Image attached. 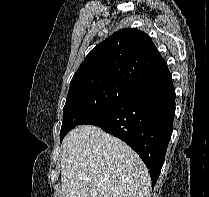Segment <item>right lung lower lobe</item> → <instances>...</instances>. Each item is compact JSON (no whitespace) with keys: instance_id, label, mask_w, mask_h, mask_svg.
<instances>
[{"instance_id":"obj_1","label":"right lung lower lobe","mask_w":209,"mask_h":197,"mask_svg":"<svg viewBox=\"0 0 209 197\" xmlns=\"http://www.w3.org/2000/svg\"><path fill=\"white\" fill-rule=\"evenodd\" d=\"M175 89L171 75L137 89L83 124L101 127L135 150L155 184L173 130Z\"/></svg>"}]
</instances>
